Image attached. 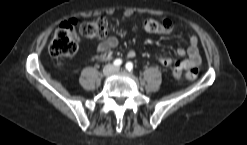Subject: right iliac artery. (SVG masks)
<instances>
[{
    "label": "right iliac artery",
    "mask_w": 247,
    "mask_h": 145,
    "mask_svg": "<svg viewBox=\"0 0 247 145\" xmlns=\"http://www.w3.org/2000/svg\"><path fill=\"white\" fill-rule=\"evenodd\" d=\"M114 66H120L122 64V60L121 59H116L114 62H113Z\"/></svg>",
    "instance_id": "82829eb1"
}]
</instances>
